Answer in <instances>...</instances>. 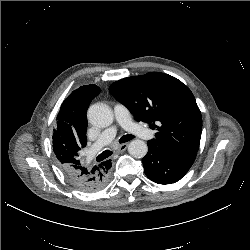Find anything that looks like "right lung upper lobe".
Segmentation results:
<instances>
[{
	"mask_svg": "<svg viewBox=\"0 0 250 250\" xmlns=\"http://www.w3.org/2000/svg\"><path fill=\"white\" fill-rule=\"evenodd\" d=\"M100 88L94 84L74 90L62 103L53 133V151L61 167L82 163L80 151L86 146L88 106Z\"/></svg>",
	"mask_w": 250,
	"mask_h": 250,
	"instance_id": "obj_1",
	"label": "right lung upper lobe"
}]
</instances>
